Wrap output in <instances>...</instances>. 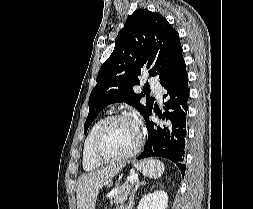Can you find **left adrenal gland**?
<instances>
[{"mask_svg": "<svg viewBox=\"0 0 253 209\" xmlns=\"http://www.w3.org/2000/svg\"><path fill=\"white\" fill-rule=\"evenodd\" d=\"M146 183L144 181H141L139 182V180H137L136 182V185H135V188L132 192V195L129 199V206H128V209H132L133 208V205H134V196H135V193L136 191L138 190V188L141 186V185H145Z\"/></svg>", "mask_w": 253, "mask_h": 209, "instance_id": "left-adrenal-gland-1", "label": "left adrenal gland"}]
</instances>
